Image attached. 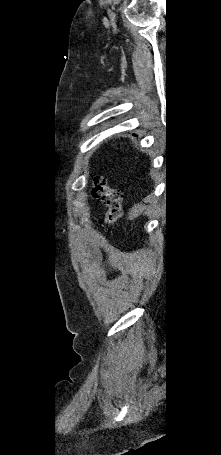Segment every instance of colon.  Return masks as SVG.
Here are the masks:
<instances>
[{"label":"colon","instance_id":"colon-1","mask_svg":"<svg viewBox=\"0 0 221 455\" xmlns=\"http://www.w3.org/2000/svg\"><path fill=\"white\" fill-rule=\"evenodd\" d=\"M91 194L106 206L105 222L114 223L121 215V192L110 187L107 180L100 177L94 181Z\"/></svg>","mask_w":221,"mask_h":455}]
</instances>
